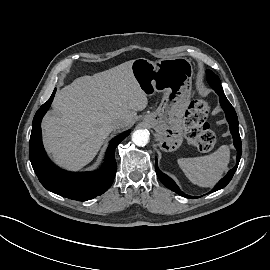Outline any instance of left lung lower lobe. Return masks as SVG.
<instances>
[{"mask_svg": "<svg viewBox=\"0 0 270 270\" xmlns=\"http://www.w3.org/2000/svg\"><path fill=\"white\" fill-rule=\"evenodd\" d=\"M218 95H219L221 107L223 108V110L226 114V119L230 125V131H231V134L233 135L234 146L237 149V158H236V166L233 169H231L223 179H221L219 181V183L215 186V188H213L211 190V192H215L217 190L222 189L230 182V180L232 179V177H233V175L238 167V164H239V161L241 158V154H242V145H241V138H240L239 129H238V118H237L236 112H235L233 106L227 100L225 94H218ZM155 170H156L157 176L159 177L160 181L167 188L171 189L172 191L176 192L177 194H179L185 198H190V199L193 198L192 196H189V195H186L185 193H183L171 178H169L167 175H165L164 173H162L159 170V168L157 166V161L155 162Z\"/></svg>", "mask_w": 270, "mask_h": 270, "instance_id": "left-lung-lower-lobe-1", "label": "left lung lower lobe"}]
</instances>
